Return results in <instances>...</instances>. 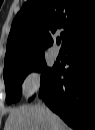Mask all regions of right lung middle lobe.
I'll return each mask as SVG.
<instances>
[{"instance_id":"1","label":"right lung middle lobe","mask_w":95,"mask_h":130,"mask_svg":"<svg viewBox=\"0 0 95 130\" xmlns=\"http://www.w3.org/2000/svg\"><path fill=\"white\" fill-rule=\"evenodd\" d=\"M55 70V66L49 68L46 66L44 58L38 59L29 64L19 66L13 69L5 70L3 72V78L6 88V102L8 104L16 102L21 97V83L27 74L31 71H42L41 76V88L44 87L48 79L51 77Z\"/></svg>"}]
</instances>
